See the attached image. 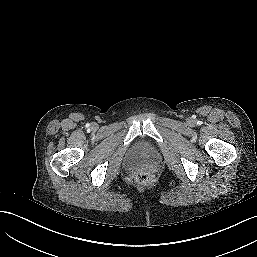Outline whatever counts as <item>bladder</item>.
Returning a JSON list of instances; mask_svg holds the SVG:
<instances>
[{
	"label": "bladder",
	"instance_id": "31cf9c89",
	"mask_svg": "<svg viewBox=\"0 0 257 257\" xmlns=\"http://www.w3.org/2000/svg\"><path fill=\"white\" fill-rule=\"evenodd\" d=\"M155 155L154 145L146 139L137 140L130 149V158L133 161L153 160Z\"/></svg>",
	"mask_w": 257,
	"mask_h": 257
}]
</instances>
